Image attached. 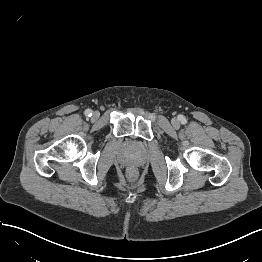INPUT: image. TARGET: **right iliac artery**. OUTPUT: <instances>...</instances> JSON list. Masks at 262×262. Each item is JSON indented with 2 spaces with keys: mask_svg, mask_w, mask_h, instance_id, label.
Wrapping results in <instances>:
<instances>
[{
  "mask_svg": "<svg viewBox=\"0 0 262 262\" xmlns=\"http://www.w3.org/2000/svg\"><path fill=\"white\" fill-rule=\"evenodd\" d=\"M85 115H86L87 117H91V116H92V111H91L90 109H87V110L85 111Z\"/></svg>",
  "mask_w": 262,
  "mask_h": 262,
  "instance_id": "82829eb1",
  "label": "right iliac artery"
}]
</instances>
